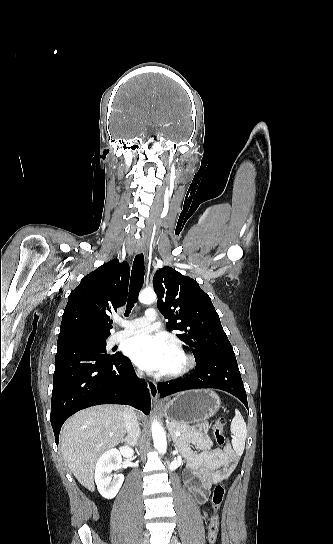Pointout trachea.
I'll return each mask as SVG.
<instances>
[{
  "instance_id": "3493384b",
  "label": "trachea",
  "mask_w": 333,
  "mask_h": 544,
  "mask_svg": "<svg viewBox=\"0 0 333 544\" xmlns=\"http://www.w3.org/2000/svg\"><path fill=\"white\" fill-rule=\"evenodd\" d=\"M143 281H144V255L141 253L136 255L133 262L131 278H130L129 297H128V302H127L126 312H125L126 317L129 315L132 308L134 307V304L137 302V297L142 288Z\"/></svg>"
}]
</instances>
